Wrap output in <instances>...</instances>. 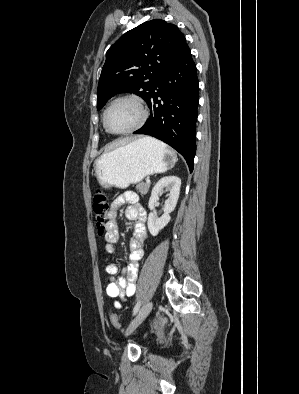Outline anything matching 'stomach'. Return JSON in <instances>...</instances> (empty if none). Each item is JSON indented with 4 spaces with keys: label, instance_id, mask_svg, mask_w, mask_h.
I'll use <instances>...</instances> for the list:
<instances>
[{
    "label": "stomach",
    "instance_id": "0dacf381",
    "mask_svg": "<svg viewBox=\"0 0 299 394\" xmlns=\"http://www.w3.org/2000/svg\"><path fill=\"white\" fill-rule=\"evenodd\" d=\"M176 161L173 151L144 137L105 152L95 160L93 172L104 188H126L148 175L171 169Z\"/></svg>",
    "mask_w": 299,
    "mask_h": 394
}]
</instances>
